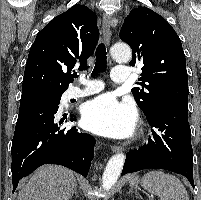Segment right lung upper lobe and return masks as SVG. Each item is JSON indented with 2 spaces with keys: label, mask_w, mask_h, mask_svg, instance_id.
Instances as JSON below:
<instances>
[{
  "label": "right lung upper lobe",
  "mask_w": 201,
  "mask_h": 200,
  "mask_svg": "<svg viewBox=\"0 0 201 200\" xmlns=\"http://www.w3.org/2000/svg\"><path fill=\"white\" fill-rule=\"evenodd\" d=\"M99 39L97 16L84 5H74L50 21L29 51L22 96L63 94L73 82L71 70L87 68Z\"/></svg>",
  "instance_id": "cb5924a9"
}]
</instances>
